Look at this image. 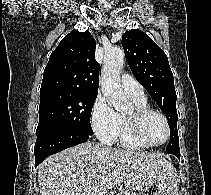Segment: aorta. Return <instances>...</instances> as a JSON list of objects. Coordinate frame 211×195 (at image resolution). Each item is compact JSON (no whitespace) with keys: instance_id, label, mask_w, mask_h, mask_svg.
Wrapping results in <instances>:
<instances>
[{"instance_id":"obj_1","label":"aorta","mask_w":211,"mask_h":195,"mask_svg":"<svg viewBox=\"0 0 211 195\" xmlns=\"http://www.w3.org/2000/svg\"><path fill=\"white\" fill-rule=\"evenodd\" d=\"M124 65V51L113 47L105 52L101 74L103 94L110 100L116 111H126L132 107L123 93L119 73Z\"/></svg>"}]
</instances>
